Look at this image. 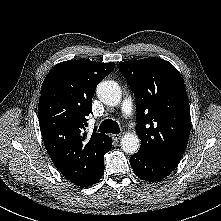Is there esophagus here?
Masks as SVG:
<instances>
[{
  "instance_id": "1",
  "label": "esophagus",
  "mask_w": 221,
  "mask_h": 221,
  "mask_svg": "<svg viewBox=\"0 0 221 221\" xmlns=\"http://www.w3.org/2000/svg\"><path fill=\"white\" fill-rule=\"evenodd\" d=\"M122 137V134H114L112 135L113 140L118 141Z\"/></svg>"
}]
</instances>
